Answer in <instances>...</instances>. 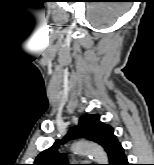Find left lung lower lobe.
I'll return each mask as SVG.
<instances>
[{
  "label": "left lung lower lobe",
  "mask_w": 154,
  "mask_h": 165,
  "mask_svg": "<svg viewBox=\"0 0 154 165\" xmlns=\"http://www.w3.org/2000/svg\"><path fill=\"white\" fill-rule=\"evenodd\" d=\"M111 165H129L122 147L118 150Z\"/></svg>",
  "instance_id": "left-lung-lower-lobe-1"
}]
</instances>
